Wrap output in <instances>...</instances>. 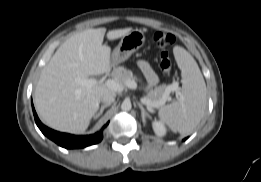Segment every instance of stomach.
I'll use <instances>...</instances> for the list:
<instances>
[{
  "label": "stomach",
  "instance_id": "1",
  "mask_svg": "<svg viewBox=\"0 0 261 182\" xmlns=\"http://www.w3.org/2000/svg\"><path fill=\"white\" fill-rule=\"evenodd\" d=\"M144 42L145 34L142 30L134 29L124 35L112 52V66H116L127 60L135 51L144 45Z\"/></svg>",
  "mask_w": 261,
  "mask_h": 182
}]
</instances>
